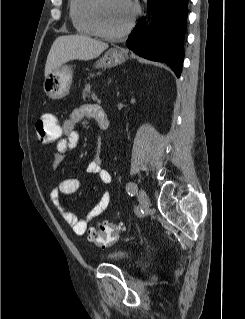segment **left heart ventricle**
Here are the masks:
<instances>
[{"mask_svg":"<svg viewBox=\"0 0 245 319\" xmlns=\"http://www.w3.org/2000/svg\"><path fill=\"white\" fill-rule=\"evenodd\" d=\"M131 15V4L125 0H103L101 20L106 30L120 31L128 24Z\"/></svg>","mask_w":245,"mask_h":319,"instance_id":"b2bd125f","label":"left heart ventricle"}]
</instances>
